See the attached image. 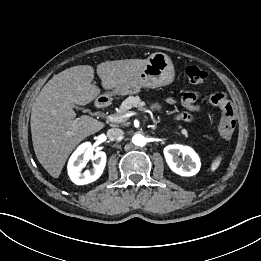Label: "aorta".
<instances>
[{
    "instance_id": "1",
    "label": "aorta",
    "mask_w": 261,
    "mask_h": 261,
    "mask_svg": "<svg viewBox=\"0 0 261 261\" xmlns=\"http://www.w3.org/2000/svg\"><path fill=\"white\" fill-rule=\"evenodd\" d=\"M132 142L137 145V146H144L146 143V139L143 135L141 134H136L132 138Z\"/></svg>"
}]
</instances>
